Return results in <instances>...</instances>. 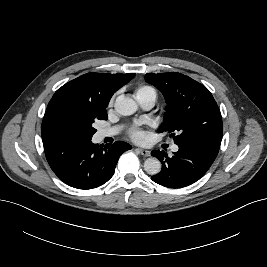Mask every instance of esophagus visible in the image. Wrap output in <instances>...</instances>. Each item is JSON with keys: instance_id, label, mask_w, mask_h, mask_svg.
Returning <instances> with one entry per match:
<instances>
[{"instance_id": "1", "label": "esophagus", "mask_w": 267, "mask_h": 267, "mask_svg": "<svg viewBox=\"0 0 267 267\" xmlns=\"http://www.w3.org/2000/svg\"><path fill=\"white\" fill-rule=\"evenodd\" d=\"M138 151L143 156H150V151L149 150H146V149H143V148H138Z\"/></svg>"}]
</instances>
